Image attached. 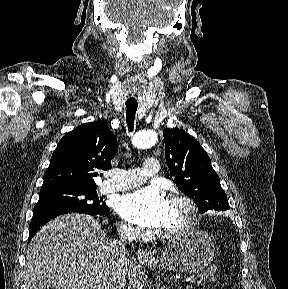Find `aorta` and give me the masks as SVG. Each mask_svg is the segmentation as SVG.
I'll return each instance as SVG.
<instances>
[{"label":"aorta","instance_id":"762f6f07","mask_svg":"<svg viewBox=\"0 0 288 289\" xmlns=\"http://www.w3.org/2000/svg\"><path fill=\"white\" fill-rule=\"evenodd\" d=\"M157 140L156 133L147 130V131H142L138 132L132 139V143L134 146L138 148H149L152 147Z\"/></svg>","mask_w":288,"mask_h":289}]
</instances>
